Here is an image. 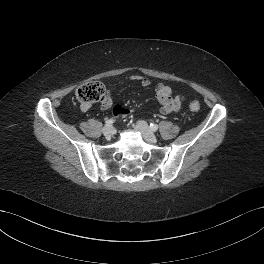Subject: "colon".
I'll use <instances>...</instances> for the list:
<instances>
[{
  "label": "colon",
  "mask_w": 264,
  "mask_h": 264,
  "mask_svg": "<svg viewBox=\"0 0 264 264\" xmlns=\"http://www.w3.org/2000/svg\"><path fill=\"white\" fill-rule=\"evenodd\" d=\"M106 94V88L101 82L91 81L78 87L75 97L81 105L91 106L93 103L102 101ZM189 107L191 111L197 112L200 109V104L197 101H193Z\"/></svg>",
  "instance_id": "obj_1"
}]
</instances>
